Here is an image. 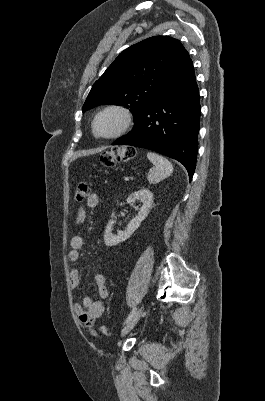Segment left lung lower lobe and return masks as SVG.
<instances>
[{"instance_id": "left-lung-lower-lobe-1", "label": "left lung lower lobe", "mask_w": 265, "mask_h": 401, "mask_svg": "<svg viewBox=\"0 0 265 401\" xmlns=\"http://www.w3.org/2000/svg\"><path fill=\"white\" fill-rule=\"evenodd\" d=\"M199 89L192 61L112 145L153 150L181 162L191 181L195 171L200 120Z\"/></svg>"}]
</instances>
